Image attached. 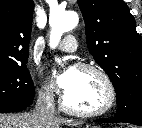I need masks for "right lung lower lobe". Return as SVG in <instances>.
<instances>
[{"label": "right lung lower lobe", "instance_id": "obj_1", "mask_svg": "<svg viewBox=\"0 0 142 128\" xmlns=\"http://www.w3.org/2000/svg\"><path fill=\"white\" fill-rule=\"evenodd\" d=\"M29 106L20 105V104H0V113H8V112H18L25 110Z\"/></svg>", "mask_w": 142, "mask_h": 128}]
</instances>
